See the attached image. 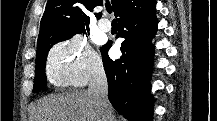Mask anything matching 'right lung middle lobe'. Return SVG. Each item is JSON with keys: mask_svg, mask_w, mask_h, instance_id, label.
Instances as JSON below:
<instances>
[{"mask_svg": "<svg viewBox=\"0 0 217 121\" xmlns=\"http://www.w3.org/2000/svg\"><path fill=\"white\" fill-rule=\"evenodd\" d=\"M82 32L83 34H86V30L83 29L80 31H76L73 34H70L64 38L47 41L45 43L37 45L36 73H35V79H34L33 92H38L46 87L45 62H46V57H47V54L50 48L57 42L64 41L66 39L71 38L73 35L77 33H82Z\"/></svg>", "mask_w": 217, "mask_h": 121, "instance_id": "obj_1", "label": "right lung middle lobe"}]
</instances>
